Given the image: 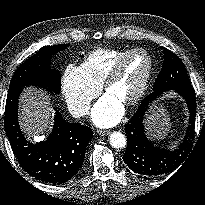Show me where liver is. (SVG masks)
Instances as JSON below:
<instances>
[{
  "instance_id": "6515ba94",
  "label": "liver",
  "mask_w": 205,
  "mask_h": 205,
  "mask_svg": "<svg viewBox=\"0 0 205 205\" xmlns=\"http://www.w3.org/2000/svg\"><path fill=\"white\" fill-rule=\"evenodd\" d=\"M53 109L42 90L26 88L20 99V124L27 138L39 137L52 128Z\"/></svg>"
}]
</instances>
